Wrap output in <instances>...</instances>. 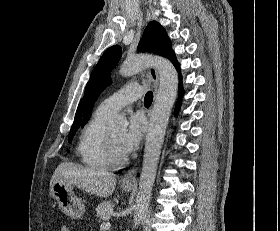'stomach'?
<instances>
[{
	"mask_svg": "<svg viewBox=\"0 0 280 231\" xmlns=\"http://www.w3.org/2000/svg\"><path fill=\"white\" fill-rule=\"evenodd\" d=\"M122 187L124 191L132 189V185H122ZM50 193L58 201V205L65 215H69L72 219H81L85 205L82 203V199L75 195L73 183L56 179L50 185Z\"/></svg>",
	"mask_w": 280,
	"mask_h": 231,
	"instance_id": "stomach-1",
	"label": "stomach"
}]
</instances>
